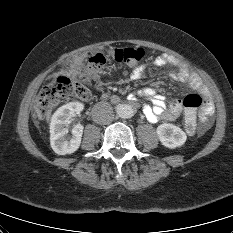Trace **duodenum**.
<instances>
[{"mask_svg":"<svg viewBox=\"0 0 233 233\" xmlns=\"http://www.w3.org/2000/svg\"><path fill=\"white\" fill-rule=\"evenodd\" d=\"M104 98L108 99L110 102L114 104H117L119 102V99L116 96L105 95Z\"/></svg>","mask_w":233,"mask_h":233,"instance_id":"obj_1","label":"duodenum"}]
</instances>
